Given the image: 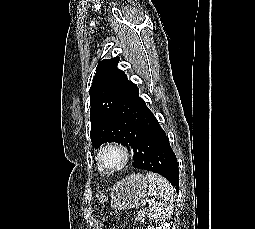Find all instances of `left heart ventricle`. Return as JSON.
<instances>
[{"label":"left heart ventricle","instance_id":"obj_1","mask_svg":"<svg viewBox=\"0 0 255 229\" xmlns=\"http://www.w3.org/2000/svg\"><path fill=\"white\" fill-rule=\"evenodd\" d=\"M106 165L113 166L120 162L121 154L116 150H109L103 156Z\"/></svg>","mask_w":255,"mask_h":229}]
</instances>
